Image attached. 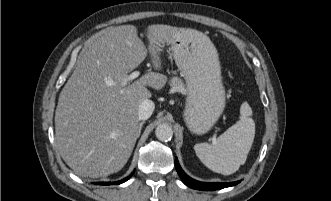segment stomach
Returning a JSON list of instances; mask_svg holds the SVG:
<instances>
[{
    "mask_svg": "<svg viewBox=\"0 0 331 201\" xmlns=\"http://www.w3.org/2000/svg\"><path fill=\"white\" fill-rule=\"evenodd\" d=\"M171 52L187 86L184 120L195 134L207 133L225 107V90L217 50L208 36L182 29Z\"/></svg>",
    "mask_w": 331,
    "mask_h": 201,
    "instance_id": "stomach-1",
    "label": "stomach"
}]
</instances>
